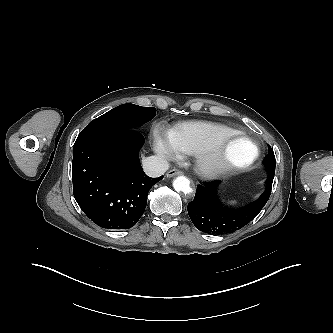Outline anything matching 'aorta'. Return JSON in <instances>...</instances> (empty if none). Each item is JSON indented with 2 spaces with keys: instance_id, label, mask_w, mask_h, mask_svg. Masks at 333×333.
<instances>
[{
  "instance_id": "aorta-1",
  "label": "aorta",
  "mask_w": 333,
  "mask_h": 333,
  "mask_svg": "<svg viewBox=\"0 0 333 333\" xmlns=\"http://www.w3.org/2000/svg\"><path fill=\"white\" fill-rule=\"evenodd\" d=\"M173 187L177 192L191 194L193 189L190 186V181L185 176H178L173 180Z\"/></svg>"
}]
</instances>
